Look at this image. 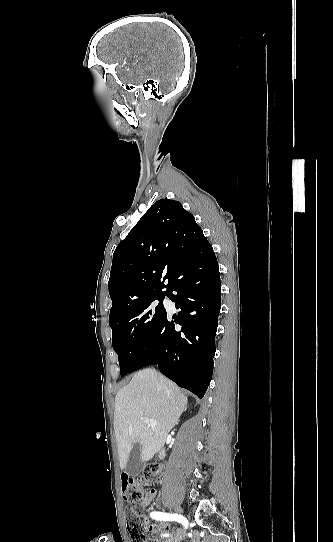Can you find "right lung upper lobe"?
<instances>
[{
    "label": "right lung upper lobe",
    "instance_id": "right-lung-upper-lobe-1",
    "mask_svg": "<svg viewBox=\"0 0 333 542\" xmlns=\"http://www.w3.org/2000/svg\"><path fill=\"white\" fill-rule=\"evenodd\" d=\"M204 240L194 216L178 201L166 198L154 203L113 254L109 320L167 295L180 278V250Z\"/></svg>",
    "mask_w": 333,
    "mask_h": 542
}]
</instances>
